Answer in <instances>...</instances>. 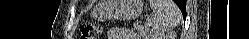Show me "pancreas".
Listing matches in <instances>:
<instances>
[{
	"mask_svg": "<svg viewBox=\"0 0 249 39\" xmlns=\"http://www.w3.org/2000/svg\"><path fill=\"white\" fill-rule=\"evenodd\" d=\"M134 28L138 31L141 36H149V29L143 27L141 24H134Z\"/></svg>",
	"mask_w": 249,
	"mask_h": 39,
	"instance_id": "1",
	"label": "pancreas"
}]
</instances>
